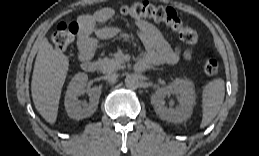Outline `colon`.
<instances>
[{
    "instance_id": "obj_1",
    "label": "colon",
    "mask_w": 259,
    "mask_h": 156,
    "mask_svg": "<svg viewBox=\"0 0 259 156\" xmlns=\"http://www.w3.org/2000/svg\"><path fill=\"white\" fill-rule=\"evenodd\" d=\"M121 12L134 18H147L157 23L165 24L178 34L185 43L193 44L198 40L197 32L184 26L176 11L172 8L154 6L148 2H139L123 6ZM79 31V22H60L52 35V42L57 49L64 50L74 41ZM218 70L219 63L216 59L211 58L205 62L204 71L207 75H215Z\"/></svg>"
}]
</instances>
